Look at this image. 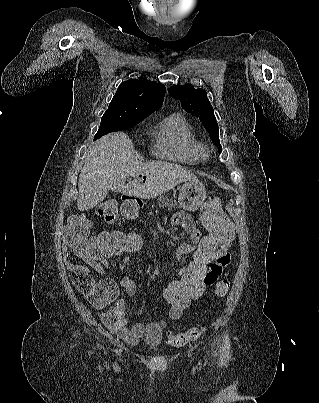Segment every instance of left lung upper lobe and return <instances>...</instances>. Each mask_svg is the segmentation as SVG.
<instances>
[{
	"mask_svg": "<svg viewBox=\"0 0 319 403\" xmlns=\"http://www.w3.org/2000/svg\"><path fill=\"white\" fill-rule=\"evenodd\" d=\"M168 91L174 99L181 101L182 107L187 112L199 117L204 127L210 133L213 144L219 147V153H221L222 147L218 136L219 127L206 91L201 88L195 89L192 85L188 84L173 86Z\"/></svg>",
	"mask_w": 319,
	"mask_h": 403,
	"instance_id": "left-lung-upper-lobe-1",
	"label": "left lung upper lobe"
}]
</instances>
